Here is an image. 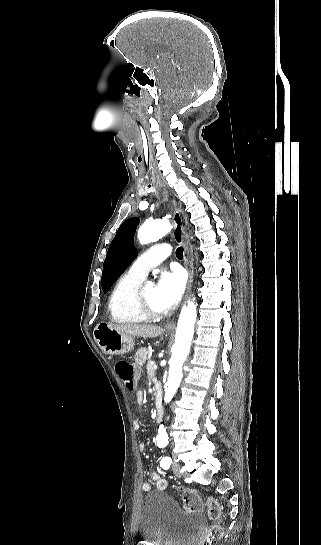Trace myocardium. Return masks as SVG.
Returning a JSON list of instances; mask_svg holds the SVG:
<instances>
[{"label": "myocardium", "mask_w": 321, "mask_h": 545, "mask_svg": "<svg viewBox=\"0 0 321 545\" xmlns=\"http://www.w3.org/2000/svg\"><path fill=\"white\" fill-rule=\"evenodd\" d=\"M145 286L143 284H139L133 293V307L136 312H138L140 315L147 319H157L162 316V312L154 311L150 308H148L141 296L142 290Z\"/></svg>", "instance_id": "obj_1"}]
</instances>
